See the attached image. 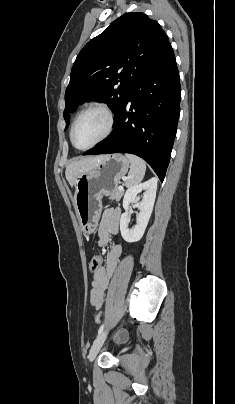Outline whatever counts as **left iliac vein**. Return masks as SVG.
Returning a JSON list of instances; mask_svg holds the SVG:
<instances>
[{
	"instance_id": "obj_1",
	"label": "left iliac vein",
	"mask_w": 235,
	"mask_h": 404,
	"mask_svg": "<svg viewBox=\"0 0 235 404\" xmlns=\"http://www.w3.org/2000/svg\"><path fill=\"white\" fill-rule=\"evenodd\" d=\"M107 334H108V330H104L95 339V341H94V343H93V345H92V347L90 349V353H89V360L91 362L96 358L98 352L100 351V349H101V347H102V345H103V343H104V341H105V339L107 337Z\"/></svg>"
}]
</instances>
